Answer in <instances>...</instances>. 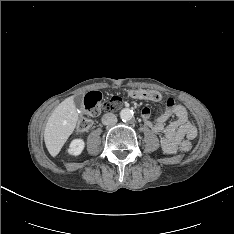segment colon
<instances>
[{
	"label": "colon",
	"mask_w": 234,
	"mask_h": 234,
	"mask_svg": "<svg viewBox=\"0 0 234 234\" xmlns=\"http://www.w3.org/2000/svg\"><path fill=\"white\" fill-rule=\"evenodd\" d=\"M130 96L135 99H144L150 101H159L161 94L155 90H133ZM122 107V99L119 96H112L110 98H103L98 92H92L85 97L82 117L77 124V132L84 133L88 131L92 124V118L99 115L101 112H113ZM191 143L185 140L181 148L184 151L191 150Z\"/></svg>",
	"instance_id": "5ec220e1"
}]
</instances>
